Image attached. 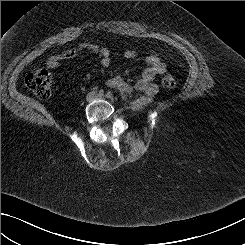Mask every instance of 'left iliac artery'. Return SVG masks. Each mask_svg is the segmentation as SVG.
Wrapping results in <instances>:
<instances>
[{"instance_id": "1", "label": "left iliac artery", "mask_w": 245, "mask_h": 245, "mask_svg": "<svg viewBox=\"0 0 245 245\" xmlns=\"http://www.w3.org/2000/svg\"><path fill=\"white\" fill-rule=\"evenodd\" d=\"M106 97L109 98V99H112V98H113L112 92H110V91L107 92V93H106Z\"/></svg>"}]
</instances>
